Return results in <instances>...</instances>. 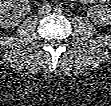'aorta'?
I'll use <instances>...</instances> for the list:
<instances>
[{
  "label": "aorta",
  "mask_w": 111,
  "mask_h": 106,
  "mask_svg": "<svg viewBox=\"0 0 111 106\" xmlns=\"http://www.w3.org/2000/svg\"><path fill=\"white\" fill-rule=\"evenodd\" d=\"M55 10H56L57 12H62V11H63V6H62V5H56V6H55Z\"/></svg>",
  "instance_id": "1"
}]
</instances>
